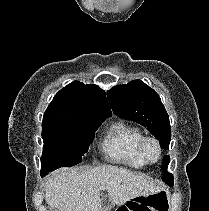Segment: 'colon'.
Here are the masks:
<instances>
[{
    "mask_svg": "<svg viewBox=\"0 0 209 211\" xmlns=\"http://www.w3.org/2000/svg\"><path fill=\"white\" fill-rule=\"evenodd\" d=\"M167 200L163 192L130 199L117 211H166Z\"/></svg>",
    "mask_w": 209,
    "mask_h": 211,
    "instance_id": "colon-1",
    "label": "colon"
}]
</instances>
